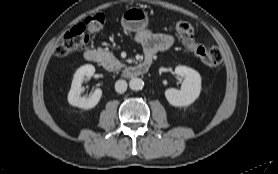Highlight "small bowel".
I'll list each match as a JSON object with an SVG mask.
<instances>
[{"instance_id":"c3829d8e","label":"small bowel","mask_w":278,"mask_h":174,"mask_svg":"<svg viewBox=\"0 0 278 174\" xmlns=\"http://www.w3.org/2000/svg\"><path fill=\"white\" fill-rule=\"evenodd\" d=\"M135 40L142 46L145 57L170 49L175 38L170 34L141 31L135 35Z\"/></svg>"}]
</instances>
